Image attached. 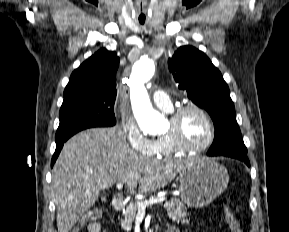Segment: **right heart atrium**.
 <instances>
[{
    "label": "right heart atrium",
    "mask_w": 289,
    "mask_h": 232,
    "mask_svg": "<svg viewBox=\"0 0 289 232\" xmlns=\"http://www.w3.org/2000/svg\"><path fill=\"white\" fill-rule=\"evenodd\" d=\"M121 128L130 148L142 156H152L155 151V140L146 136L131 116H122Z\"/></svg>",
    "instance_id": "d8ad5b80"
}]
</instances>
